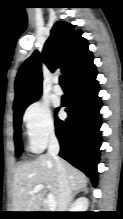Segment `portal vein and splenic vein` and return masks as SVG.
I'll return each mask as SVG.
<instances>
[{
  "instance_id": "portal-vein-and-splenic-vein-1",
  "label": "portal vein and splenic vein",
  "mask_w": 123,
  "mask_h": 219,
  "mask_svg": "<svg viewBox=\"0 0 123 219\" xmlns=\"http://www.w3.org/2000/svg\"><path fill=\"white\" fill-rule=\"evenodd\" d=\"M45 187H46L45 185L39 184V185L35 186V188L33 190L29 191V194L37 193L40 190L44 189ZM46 203H47L48 208L51 211L55 209L56 201H55V198H54V196L52 194H48Z\"/></svg>"
}]
</instances>
